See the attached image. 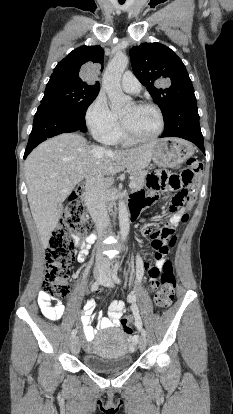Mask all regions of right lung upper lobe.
Instances as JSON below:
<instances>
[{
  "label": "right lung upper lobe",
  "mask_w": 233,
  "mask_h": 414,
  "mask_svg": "<svg viewBox=\"0 0 233 414\" xmlns=\"http://www.w3.org/2000/svg\"><path fill=\"white\" fill-rule=\"evenodd\" d=\"M104 51L100 46H81L69 53L55 67L51 78H60L86 85L99 86V82L89 81L81 78L83 75L82 65L100 64L103 69ZM85 65V66H86Z\"/></svg>",
  "instance_id": "cb5924a9"
}]
</instances>
